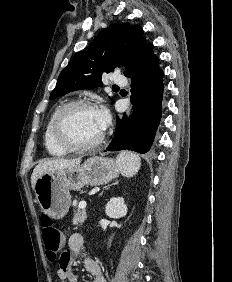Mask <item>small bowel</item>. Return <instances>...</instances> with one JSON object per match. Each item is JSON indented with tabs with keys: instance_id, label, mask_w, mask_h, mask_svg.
Wrapping results in <instances>:
<instances>
[{
	"instance_id": "small-bowel-1",
	"label": "small bowel",
	"mask_w": 232,
	"mask_h": 282,
	"mask_svg": "<svg viewBox=\"0 0 232 282\" xmlns=\"http://www.w3.org/2000/svg\"><path fill=\"white\" fill-rule=\"evenodd\" d=\"M84 237L80 233H73L68 239V250L60 256L57 277L60 282H78V277L72 269L73 261L82 254ZM85 270L92 275V282H107L98 263L90 257L83 258Z\"/></svg>"
}]
</instances>
